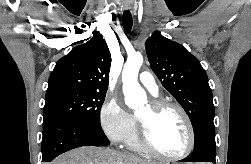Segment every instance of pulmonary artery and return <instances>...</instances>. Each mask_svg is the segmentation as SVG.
Masks as SVG:
<instances>
[{
    "label": "pulmonary artery",
    "instance_id": "obj_1",
    "mask_svg": "<svg viewBox=\"0 0 251 164\" xmlns=\"http://www.w3.org/2000/svg\"><path fill=\"white\" fill-rule=\"evenodd\" d=\"M139 81L153 96L158 95V86L151 73L146 71L142 72L139 76Z\"/></svg>",
    "mask_w": 251,
    "mask_h": 164
}]
</instances>
